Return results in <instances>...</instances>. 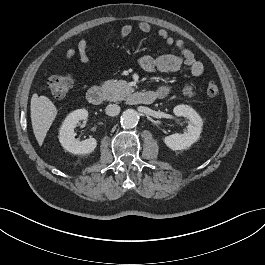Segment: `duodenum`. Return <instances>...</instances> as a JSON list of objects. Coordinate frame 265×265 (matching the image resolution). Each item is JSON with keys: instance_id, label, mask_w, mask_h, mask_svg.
<instances>
[{"instance_id": "410a0bca", "label": "duodenum", "mask_w": 265, "mask_h": 265, "mask_svg": "<svg viewBox=\"0 0 265 265\" xmlns=\"http://www.w3.org/2000/svg\"><path fill=\"white\" fill-rule=\"evenodd\" d=\"M87 101L92 105H100L104 101V93L99 86H93L86 93ZM158 96L151 91H133L127 98L128 103L134 105H150Z\"/></svg>"}]
</instances>
